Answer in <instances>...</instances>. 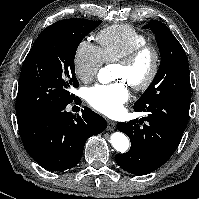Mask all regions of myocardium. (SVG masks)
<instances>
[{"label":"myocardium","mask_w":199,"mask_h":199,"mask_svg":"<svg viewBox=\"0 0 199 199\" xmlns=\"http://www.w3.org/2000/svg\"><path fill=\"white\" fill-rule=\"evenodd\" d=\"M145 54H149L151 57V67L149 73L143 81L130 84L135 91L139 92L149 89L158 76L160 68V52L157 47L150 43H145L135 47L122 58L116 61L117 65L128 68L131 67L139 58Z\"/></svg>","instance_id":"myocardium-1"}]
</instances>
